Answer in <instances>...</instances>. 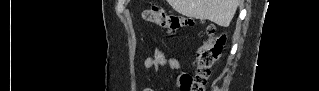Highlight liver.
<instances>
[{
  "label": "liver",
  "instance_id": "1",
  "mask_svg": "<svg viewBox=\"0 0 319 91\" xmlns=\"http://www.w3.org/2000/svg\"><path fill=\"white\" fill-rule=\"evenodd\" d=\"M178 13L203 19L227 27L230 25L240 0H168Z\"/></svg>",
  "mask_w": 319,
  "mask_h": 91
}]
</instances>
